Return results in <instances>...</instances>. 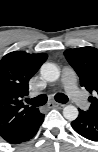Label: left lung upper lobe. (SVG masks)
<instances>
[{"mask_svg":"<svg viewBox=\"0 0 98 152\" xmlns=\"http://www.w3.org/2000/svg\"><path fill=\"white\" fill-rule=\"evenodd\" d=\"M64 54L78 74L81 86L92 94L88 99L91 105L86 112L98 117V49L94 47L67 49Z\"/></svg>","mask_w":98,"mask_h":152,"instance_id":"left-lung-upper-lobe-1","label":"left lung upper lobe"}]
</instances>
